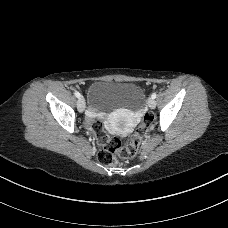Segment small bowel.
I'll return each instance as SVG.
<instances>
[{
    "instance_id": "c3829d8e",
    "label": "small bowel",
    "mask_w": 228,
    "mask_h": 228,
    "mask_svg": "<svg viewBox=\"0 0 228 228\" xmlns=\"http://www.w3.org/2000/svg\"><path fill=\"white\" fill-rule=\"evenodd\" d=\"M104 137H105L104 134L101 135V136H98V140H99V141H102V140L104 139Z\"/></svg>"
}]
</instances>
